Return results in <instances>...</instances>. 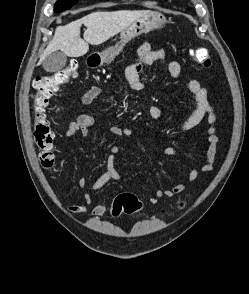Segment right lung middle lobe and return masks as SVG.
Returning <instances> with one entry per match:
<instances>
[{
	"label": "right lung middle lobe",
	"mask_w": 249,
	"mask_h": 294,
	"mask_svg": "<svg viewBox=\"0 0 249 294\" xmlns=\"http://www.w3.org/2000/svg\"><path fill=\"white\" fill-rule=\"evenodd\" d=\"M76 3L77 0H57L54 5V12L59 13L63 10H68Z\"/></svg>",
	"instance_id": "1"
}]
</instances>
